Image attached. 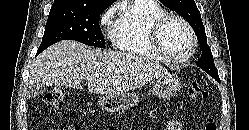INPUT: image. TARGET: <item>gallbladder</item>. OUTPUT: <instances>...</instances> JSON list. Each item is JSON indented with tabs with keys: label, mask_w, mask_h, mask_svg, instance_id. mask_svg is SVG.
I'll use <instances>...</instances> for the list:
<instances>
[{
	"label": "gallbladder",
	"mask_w": 249,
	"mask_h": 130,
	"mask_svg": "<svg viewBox=\"0 0 249 130\" xmlns=\"http://www.w3.org/2000/svg\"><path fill=\"white\" fill-rule=\"evenodd\" d=\"M46 92V87L40 83L33 84L29 87L27 92L28 99H34Z\"/></svg>",
	"instance_id": "bac80fb5"
}]
</instances>
